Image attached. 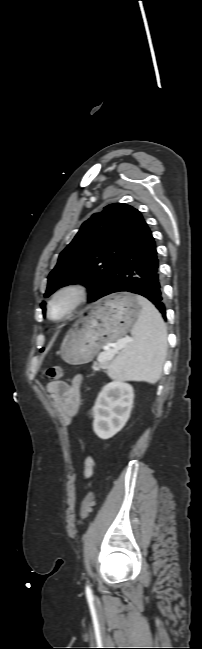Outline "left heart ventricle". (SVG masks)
<instances>
[{
    "instance_id": "1",
    "label": "left heart ventricle",
    "mask_w": 202,
    "mask_h": 649,
    "mask_svg": "<svg viewBox=\"0 0 202 649\" xmlns=\"http://www.w3.org/2000/svg\"><path fill=\"white\" fill-rule=\"evenodd\" d=\"M68 307V300L65 298L59 299L52 306V313L54 316H61Z\"/></svg>"
}]
</instances>
